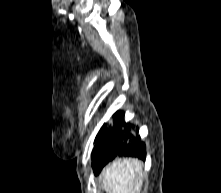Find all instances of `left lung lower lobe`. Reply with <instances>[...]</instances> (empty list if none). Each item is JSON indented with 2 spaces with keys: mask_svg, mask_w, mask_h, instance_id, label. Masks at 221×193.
I'll return each instance as SVG.
<instances>
[{
  "mask_svg": "<svg viewBox=\"0 0 221 193\" xmlns=\"http://www.w3.org/2000/svg\"><path fill=\"white\" fill-rule=\"evenodd\" d=\"M112 127L106 128L92 151V168L97 175L103 167L118 156H131L145 160L146 146L140 136L133 132L134 125L124 122V113L113 115ZM122 127H124L122 129Z\"/></svg>",
  "mask_w": 221,
  "mask_h": 193,
  "instance_id": "left-lung-lower-lobe-1",
  "label": "left lung lower lobe"
}]
</instances>
